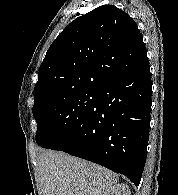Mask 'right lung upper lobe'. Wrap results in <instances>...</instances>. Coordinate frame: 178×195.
Wrapping results in <instances>:
<instances>
[{"mask_svg":"<svg viewBox=\"0 0 178 195\" xmlns=\"http://www.w3.org/2000/svg\"><path fill=\"white\" fill-rule=\"evenodd\" d=\"M146 63L135 21L114 5H102L71 22L51 44L39 68L34 107L55 96L97 91Z\"/></svg>","mask_w":178,"mask_h":195,"instance_id":"cb5924a9","label":"right lung upper lobe"}]
</instances>
